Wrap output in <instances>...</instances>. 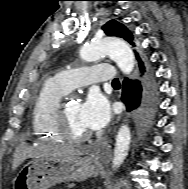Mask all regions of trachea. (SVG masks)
I'll use <instances>...</instances> for the list:
<instances>
[{
	"label": "trachea",
	"mask_w": 188,
	"mask_h": 189,
	"mask_svg": "<svg viewBox=\"0 0 188 189\" xmlns=\"http://www.w3.org/2000/svg\"><path fill=\"white\" fill-rule=\"evenodd\" d=\"M112 84H119V80L116 78L112 81Z\"/></svg>",
	"instance_id": "trachea-1"
}]
</instances>
